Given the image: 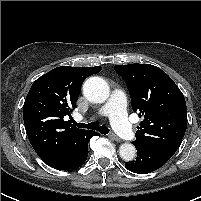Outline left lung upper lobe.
<instances>
[{"label": "left lung upper lobe", "instance_id": "1", "mask_svg": "<svg viewBox=\"0 0 201 201\" xmlns=\"http://www.w3.org/2000/svg\"><path fill=\"white\" fill-rule=\"evenodd\" d=\"M115 70L126 82L132 109L144 116L133 144L178 149L187 128L186 102L178 86L150 64L116 65Z\"/></svg>", "mask_w": 201, "mask_h": 201}]
</instances>
